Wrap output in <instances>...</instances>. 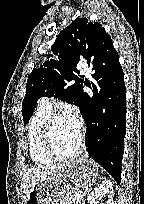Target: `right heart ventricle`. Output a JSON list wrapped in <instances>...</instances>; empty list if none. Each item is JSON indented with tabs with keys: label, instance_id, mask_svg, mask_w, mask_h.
I'll list each match as a JSON object with an SVG mask.
<instances>
[{
	"label": "right heart ventricle",
	"instance_id": "1",
	"mask_svg": "<svg viewBox=\"0 0 144 204\" xmlns=\"http://www.w3.org/2000/svg\"><path fill=\"white\" fill-rule=\"evenodd\" d=\"M50 114L51 109L39 105L28 124L27 145L29 156L32 162L37 165H47L54 161L53 158L46 154L42 145L44 125Z\"/></svg>",
	"mask_w": 144,
	"mask_h": 204
}]
</instances>
